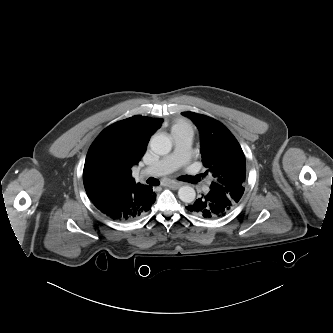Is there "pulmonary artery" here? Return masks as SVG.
Returning a JSON list of instances; mask_svg holds the SVG:
<instances>
[{
    "label": "pulmonary artery",
    "instance_id": "obj_1",
    "mask_svg": "<svg viewBox=\"0 0 333 333\" xmlns=\"http://www.w3.org/2000/svg\"><path fill=\"white\" fill-rule=\"evenodd\" d=\"M172 136L174 139L173 152L144 168L140 173L141 177L164 175L188 163L191 155L192 130L190 128L178 130L173 132Z\"/></svg>",
    "mask_w": 333,
    "mask_h": 333
}]
</instances>
